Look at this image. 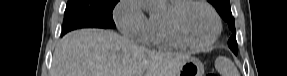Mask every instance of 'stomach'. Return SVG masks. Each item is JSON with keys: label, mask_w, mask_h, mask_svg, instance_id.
Listing matches in <instances>:
<instances>
[{"label": "stomach", "mask_w": 287, "mask_h": 76, "mask_svg": "<svg viewBox=\"0 0 287 76\" xmlns=\"http://www.w3.org/2000/svg\"><path fill=\"white\" fill-rule=\"evenodd\" d=\"M204 65L194 57L187 58L177 76H203Z\"/></svg>", "instance_id": "obj_1"}]
</instances>
